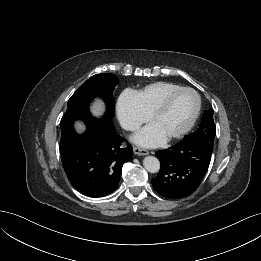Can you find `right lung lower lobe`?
Masks as SVG:
<instances>
[{
  "mask_svg": "<svg viewBox=\"0 0 261 261\" xmlns=\"http://www.w3.org/2000/svg\"><path fill=\"white\" fill-rule=\"evenodd\" d=\"M87 130L78 135L70 124L61 128L63 168L71 184L89 197H104L119 184L123 164L133 158L130 144L116 133L112 119L85 121Z\"/></svg>",
  "mask_w": 261,
  "mask_h": 261,
  "instance_id": "98d812e1",
  "label": "right lung lower lobe"
}]
</instances>
